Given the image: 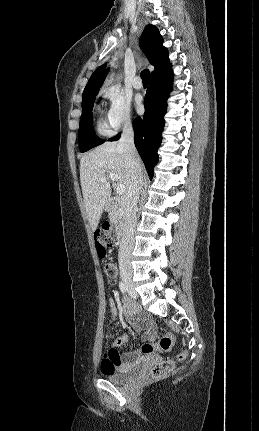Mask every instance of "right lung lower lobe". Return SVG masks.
Here are the masks:
<instances>
[{
  "label": "right lung lower lobe",
  "instance_id": "right-lung-lower-lobe-1",
  "mask_svg": "<svg viewBox=\"0 0 259 431\" xmlns=\"http://www.w3.org/2000/svg\"><path fill=\"white\" fill-rule=\"evenodd\" d=\"M173 73L171 66L151 76L149 88L144 101L145 113L143 117H136L133 122L135 146L145 164L147 173L152 179L154 166L158 161L157 150L161 144V133L164 128L166 113V100L172 89ZM118 133L109 141L120 138Z\"/></svg>",
  "mask_w": 259,
  "mask_h": 431
}]
</instances>
